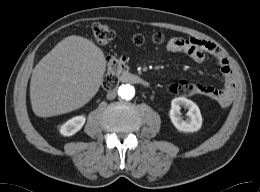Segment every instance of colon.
<instances>
[{
	"instance_id": "1",
	"label": "colon",
	"mask_w": 260,
	"mask_h": 192,
	"mask_svg": "<svg viewBox=\"0 0 260 192\" xmlns=\"http://www.w3.org/2000/svg\"><path fill=\"white\" fill-rule=\"evenodd\" d=\"M92 34L94 40L99 45H107L114 38V31L105 23L97 22L92 27ZM165 37L158 32L152 35L151 42L155 45H160L164 42ZM133 43L137 46H142L145 43L144 36L138 34L133 37ZM125 63V58L119 57L110 60L108 65V72L103 81V87L107 90L113 89L117 85V73ZM170 90L178 96H190L196 93L197 86L195 83L187 80H180L171 85Z\"/></svg>"
}]
</instances>
